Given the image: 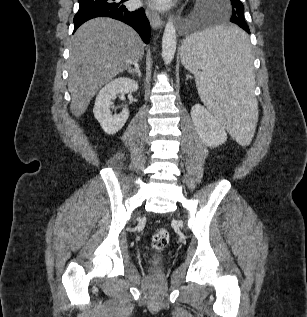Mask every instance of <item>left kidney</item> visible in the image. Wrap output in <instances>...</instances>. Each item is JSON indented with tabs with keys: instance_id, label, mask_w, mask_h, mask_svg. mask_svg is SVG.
<instances>
[{
	"instance_id": "left-kidney-1",
	"label": "left kidney",
	"mask_w": 307,
	"mask_h": 317,
	"mask_svg": "<svg viewBox=\"0 0 307 317\" xmlns=\"http://www.w3.org/2000/svg\"><path fill=\"white\" fill-rule=\"evenodd\" d=\"M191 117L196 132L206 145L215 147L226 142L225 128L204 106L195 104Z\"/></svg>"
}]
</instances>
